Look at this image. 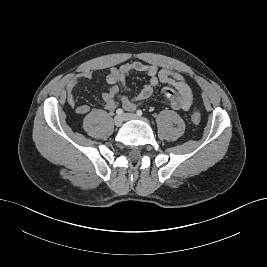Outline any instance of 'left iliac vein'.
<instances>
[{
  "instance_id": "4c4485c4",
  "label": "left iliac vein",
  "mask_w": 267,
  "mask_h": 267,
  "mask_svg": "<svg viewBox=\"0 0 267 267\" xmlns=\"http://www.w3.org/2000/svg\"><path fill=\"white\" fill-rule=\"evenodd\" d=\"M124 119L125 120H134V119H140V117H138L135 114L127 113L124 115Z\"/></svg>"
}]
</instances>
